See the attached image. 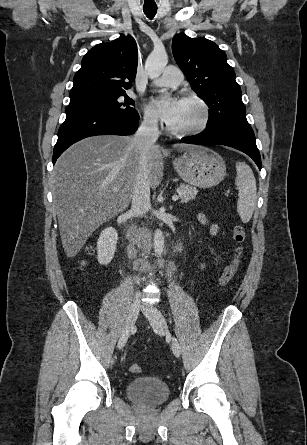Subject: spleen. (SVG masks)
<instances>
[{
    "label": "spleen",
    "mask_w": 307,
    "mask_h": 445,
    "mask_svg": "<svg viewBox=\"0 0 307 445\" xmlns=\"http://www.w3.org/2000/svg\"><path fill=\"white\" fill-rule=\"evenodd\" d=\"M236 172L235 184L238 188L237 212L242 223H249L257 200L256 178L252 168L246 162H237Z\"/></svg>",
    "instance_id": "spleen-1"
}]
</instances>
